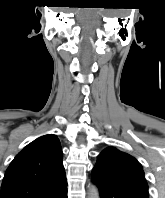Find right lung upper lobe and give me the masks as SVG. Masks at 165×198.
<instances>
[{
  "mask_svg": "<svg viewBox=\"0 0 165 198\" xmlns=\"http://www.w3.org/2000/svg\"><path fill=\"white\" fill-rule=\"evenodd\" d=\"M66 189L60 141L49 134L28 144L13 159L0 198H57Z\"/></svg>",
  "mask_w": 165,
  "mask_h": 198,
  "instance_id": "right-lung-upper-lobe-1",
  "label": "right lung upper lobe"
}]
</instances>
